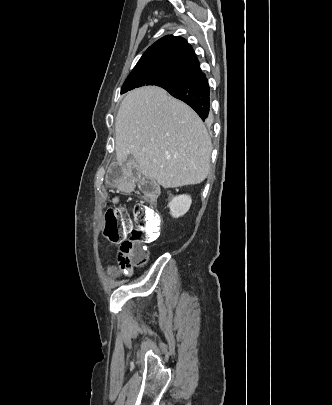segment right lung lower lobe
Segmentation results:
<instances>
[{
	"instance_id": "98d812e1",
	"label": "right lung lower lobe",
	"mask_w": 332,
	"mask_h": 405,
	"mask_svg": "<svg viewBox=\"0 0 332 405\" xmlns=\"http://www.w3.org/2000/svg\"><path fill=\"white\" fill-rule=\"evenodd\" d=\"M163 88L192 107L202 120L207 118L210 109V89L204 73H196Z\"/></svg>"
}]
</instances>
